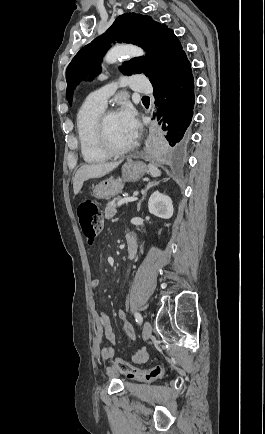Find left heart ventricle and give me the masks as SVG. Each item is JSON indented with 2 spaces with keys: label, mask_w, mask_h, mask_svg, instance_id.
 I'll return each instance as SVG.
<instances>
[{
  "label": "left heart ventricle",
  "mask_w": 265,
  "mask_h": 434,
  "mask_svg": "<svg viewBox=\"0 0 265 434\" xmlns=\"http://www.w3.org/2000/svg\"><path fill=\"white\" fill-rule=\"evenodd\" d=\"M108 127L110 132V140L113 146L119 149H124L131 146L133 140L125 131L120 123L118 114H114L109 118Z\"/></svg>",
  "instance_id": "b2bd125f"
}]
</instances>
